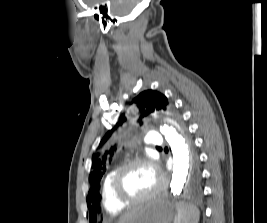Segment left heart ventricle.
Returning a JSON list of instances; mask_svg holds the SVG:
<instances>
[{"instance_id":"1","label":"left heart ventricle","mask_w":267,"mask_h":223,"mask_svg":"<svg viewBox=\"0 0 267 223\" xmlns=\"http://www.w3.org/2000/svg\"><path fill=\"white\" fill-rule=\"evenodd\" d=\"M158 184V177L147 165H137L128 170L121 182L126 198L136 199L150 193Z\"/></svg>"}]
</instances>
